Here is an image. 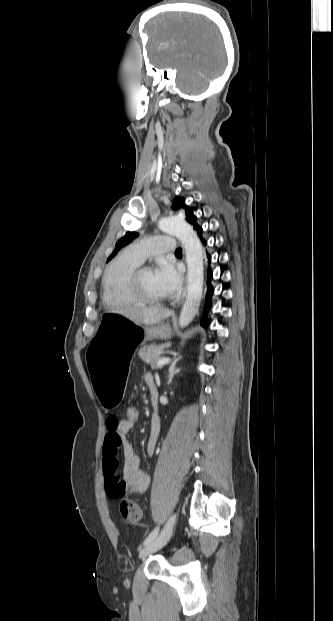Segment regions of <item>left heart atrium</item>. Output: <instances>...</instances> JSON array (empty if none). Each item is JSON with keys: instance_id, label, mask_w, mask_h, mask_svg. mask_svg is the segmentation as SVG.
I'll list each match as a JSON object with an SVG mask.
<instances>
[{"instance_id": "39dd6f15", "label": "left heart atrium", "mask_w": 333, "mask_h": 621, "mask_svg": "<svg viewBox=\"0 0 333 621\" xmlns=\"http://www.w3.org/2000/svg\"><path fill=\"white\" fill-rule=\"evenodd\" d=\"M154 272L156 279L167 294H171L180 288L182 277L173 264L162 262Z\"/></svg>"}]
</instances>
